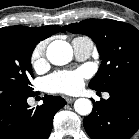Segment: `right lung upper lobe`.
Returning <instances> with one entry per match:
<instances>
[{
	"mask_svg": "<svg viewBox=\"0 0 139 139\" xmlns=\"http://www.w3.org/2000/svg\"><path fill=\"white\" fill-rule=\"evenodd\" d=\"M57 32H65V30L60 26L55 25H49L44 27L11 26L3 27L0 29V33L17 34L20 36L35 39L38 42L44 40L45 38H48L49 36Z\"/></svg>",
	"mask_w": 139,
	"mask_h": 139,
	"instance_id": "right-lung-upper-lobe-1",
	"label": "right lung upper lobe"
}]
</instances>
